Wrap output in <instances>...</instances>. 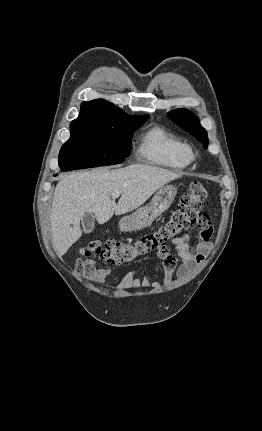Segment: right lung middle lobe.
<instances>
[{
    "label": "right lung middle lobe",
    "mask_w": 262,
    "mask_h": 431,
    "mask_svg": "<svg viewBox=\"0 0 262 431\" xmlns=\"http://www.w3.org/2000/svg\"><path fill=\"white\" fill-rule=\"evenodd\" d=\"M149 116L113 120L107 123L71 124L70 139L62 146V171L122 163L129 156L131 137Z\"/></svg>",
    "instance_id": "dd1d6c3e"
}]
</instances>
